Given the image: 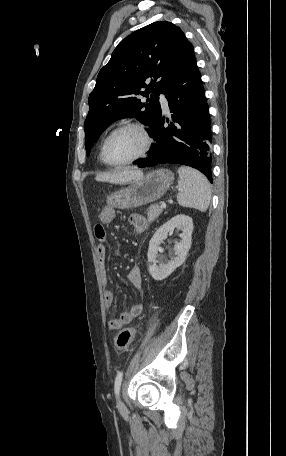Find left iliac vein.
<instances>
[{
	"label": "left iliac vein",
	"instance_id": "left-iliac-vein-1",
	"mask_svg": "<svg viewBox=\"0 0 286 456\" xmlns=\"http://www.w3.org/2000/svg\"><path fill=\"white\" fill-rule=\"evenodd\" d=\"M117 406H118L119 408H123V407H124L123 403H122L120 400L118 401Z\"/></svg>",
	"mask_w": 286,
	"mask_h": 456
}]
</instances>
